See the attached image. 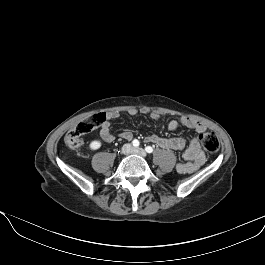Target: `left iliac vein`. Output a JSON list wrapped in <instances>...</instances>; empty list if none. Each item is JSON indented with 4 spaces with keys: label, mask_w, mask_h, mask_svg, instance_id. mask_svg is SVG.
I'll return each instance as SVG.
<instances>
[{
    "label": "left iliac vein",
    "mask_w": 265,
    "mask_h": 265,
    "mask_svg": "<svg viewBox=\"0 0 265 265\" xmlns=\"http://www.w3.org/2000/svg\"><path fill=\"white\" fill-rule=\"evenodd\" d=\"M132 153L140 155L142 157H146L147 156V153L142 148H133Z\"/></svg>",
    "instance_id": "4c4485c4"
}]
</instances>
